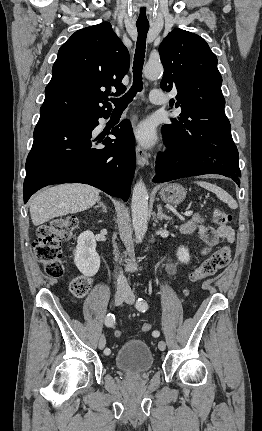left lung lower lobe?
I'll use <instances>...</instances> for the list:
<instances>
[{
  "label": "left lung lower lobe",
  "mask_w": 262,
  "mask_h": 431,
  "mask_svg": "<svg viewBox=\"0 0 262 431\" xmlns=\"http://www.w3.org/2000/svg\"><path fill=\"white\" fill-rule=\"evenodd\" d=\"M167 150L159 153L155 161V183L204 174H219L231 177L239 185L241 172L239 156L234 142H229L220 153H204L178 150L165 140Z\"/></svg>",
  "instance_id": "left-lung-lower-lobe-1"
}]
</instances>
